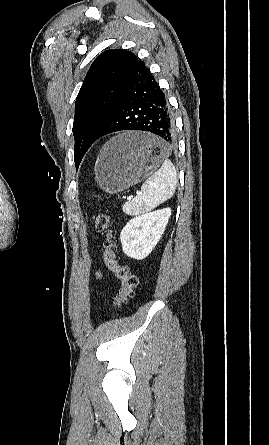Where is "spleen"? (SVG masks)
<instances>
[{"label":"spleen","instance_id":"obj_1","mask_svg":"<svg viewBox=\"0 0 269 445\" xmlns=\"http://www.w3.org/2000/svg\"><path fill=\"white\" fill-rule=\"evenodd\" d=\"M176 185L175 167L169 159H164L161 168L143 183L140 193L123 204V212L134 216L151 211L174 195Z\"/></svg>","mask_w":269,"mask_h":445}]
</instances>
